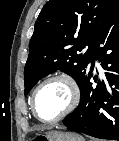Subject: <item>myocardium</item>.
Segmentation results:
<instances>
[{"instance_id":"f54148a6","label":"myocardium","mask_w":119,"mask_h":141,"mask_svg":"<svg viewBox=\"0 0 119 141\" xmlns=\"http://www.w3.org/2000/svg\"><path fill=\"white\" fill-rule=\"evenodd\" d=\"M55 81L63 82L67 86L69 93H70L69 102L66 108L59 115H57L56 117L52 119L45 120V119L40 118L39 115L37 114L36 106H35L36 97L42 87H44L46 84H49ZM79 101H80V89H79V86L76 80L69 74L59 73V74H55V75H52L44 79L34 89L32 96H31V110L35 118L38 119L40 122L51 124V123L58 122L62 120L63 118L67 117L69 114H71L78 106Z\"/></svg>"}]
</instances>
